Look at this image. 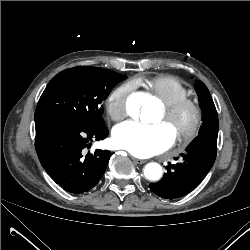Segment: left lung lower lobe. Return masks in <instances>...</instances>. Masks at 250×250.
I'll return each instance as SVG.
<instances>
[{
    "label": "left lung lower lobe",
    "instance_id": "0a47b994",
    "mask_svg": "<svg viewBox=\"0 0 250 250\" xmlns=\"http://www.w3.org/2000/svg\"><path fill=\"white\" fill-rule=\"evenodd\" d=\"M218 131L199 135L181 154L182 160L170 164L167 173L150 189L158 196L168 199L179 198L195 188L209 172L217 154ZM177 159V158H176Z\"/></svg>",
    "mask_w": 250,
    "mask_h": 250
}]
</instances>
